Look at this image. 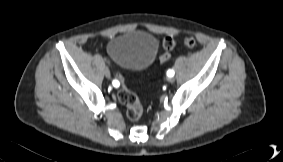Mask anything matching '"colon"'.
<instances>
[{"instance_id":"1","label":"colon","mask_w":283,"mask_h":162,"mask_svg":"<svg viewBox=\"0 0 283 162\" xmlns=\"http://www.w3.org/2000/svg\"><path fill=\"white\" fill-rule=\"evenodd\" d=\"M183 46L187 49L194 48L196 46V40L193 37H186L183 40ZM163 51L159 56L161 64H166L170 60V51L175 48V41L172 37H165L162 43ZM119 83L123 86L118 87L117 97L121 104L125 106L126 115L129 120H138L142 115V105L139 98L133 92H131L124 83L121 76H118Z\"/></svg>"}]
</instances>
